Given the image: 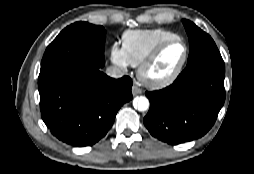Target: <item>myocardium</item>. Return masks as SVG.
<instances>
[{"label":"myocardium","mask_w":254,"mask_h":174,"mask_svg":"<svg viewBox=\"0 0 254 174\" xmlns=\"http://www.w3.org/2000/svg\"><path fill=\"white\" fill-rule=\"evenodd\" d=\"M181 42L184 46V56L180 62V64L176 67V69L170 73L169 75L161 78H155L149 75L150 68L154 65V63L159 58L162 51L172 43ZM189 56V48L185 40L179 36L167 39L154 47V49L150 52V54L144 59V61L139 65L137 75L139 80L146 86L151 88H163L170 84H172L182 73L186 62Z\"/></svg>","instance_id":"1"}]
</instances>
